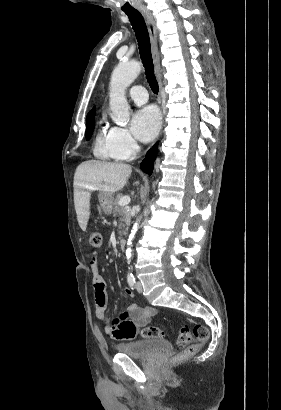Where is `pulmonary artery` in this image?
Returning <instances> with one entry per match:
<instances>
[{"label": "pulmonary artery", "mask_w": 281, "mask_h": 410, "mask_svg": "<svg viewBox=\"0 0 281 410\" xmlns=\"http://www.w3.org/2000/svg\"><path fill=\"white\" fill-rule=\"evenodd\" d=\"M129 98L137 105L145 104L148 101L147 91L143 86H132L128 91Z\"/></svg>", "instance_id": "pulmonary-artery-1"}]
</instances>
